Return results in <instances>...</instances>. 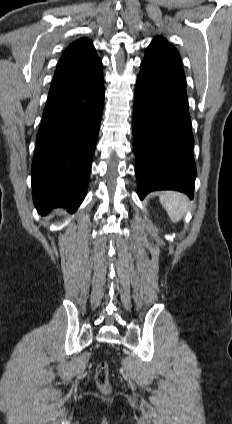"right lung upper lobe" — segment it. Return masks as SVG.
<instances>
[{
    "label": "right lung upper lobe",
    "mask_w": 232,
    "mask_h": 424,
    "mask_svg": "<svg viewBox=\"0 0 232 424\" xmlns=\"http://www.w3.org/2000/svg\"><path fill=\"white\" fill-rule=\"evenodd\" d=\"M102 77V62L88 38L67 47L60 58L49 93Z\"/></svg>",
    "instance_id": "obj_1"
}]
</instances>
